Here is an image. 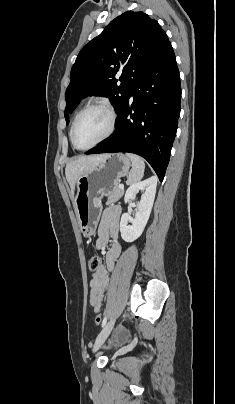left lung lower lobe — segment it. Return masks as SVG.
Returning <instances> with one entry per match:
<instances>
[{
    "instance_id": "left-lung-lower-lobe-1",
    "label": "left lung lower lobe",
    "mask_w": 235,
    "mask_h": 404,
    "mask_svg": "<svg viewBox=\"0 0 235 404\" xmlns=\"http://www.w3.org/2000/svg\"><path fill=\"white\" fill-rule=\"evenodd\" d=\"M180 100V76L169 43L135 81L118 112L115 132L86 154L135 153L145 158L163 181L176 135Z\"/></svg>"
}]
</instances>
